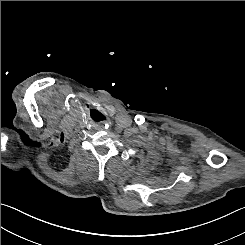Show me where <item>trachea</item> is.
<instances>
[{
  "label": "trachea",
  "instance_id": "3493384b",
  "mask_svg": "<svg viewBox=\"0 0 245 245\" xmlns=\"http://www.w3.org/2000/svg\"><path fill=\"white\" fill-rule=\"evenodd\" d=\"M95 120L96 121H101V120H104V117L102 115H98V116H95Z\"/></svg>",
  "mask_w": 245,
  "mask_h": 245
}]
</instances>
